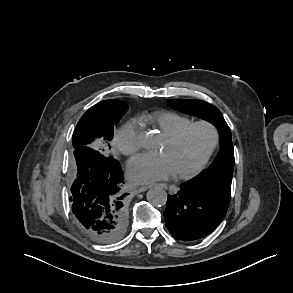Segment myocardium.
Wrapping results in <instances>:
<instances>
[{
	"mask_svg": "<svg viewBox=\"0 0 293 293\" xmlns=\"http://www.w3.org/2000/svg\"><path fill=\"white\" fill-rule=\"evenodd\" d=\"M197 126H203V127H206L210 130L211 141H210L209 147L207 148L203 157L199 160V162L192 169L185 171V172L176 173L177 178L189 179V178H192L193 176H195L196 174H198L205 167V165L207 164V162L211 158L212 154L214 153V151L218 145V142H219L218 129L213 123L206 121V120L193 121V122L187 124L186 126L182 127L180 130H178L173 135L168 136L166 140L169 143L175 144V143L179 142L189 130H191L192 128L197 127Z\"/></svg>",
	"mask_w": 293,
	"mask_h": 293,
	"instance_id": "myocardium-1",
	"label": "myocardium"
}]
</instances>
